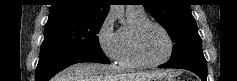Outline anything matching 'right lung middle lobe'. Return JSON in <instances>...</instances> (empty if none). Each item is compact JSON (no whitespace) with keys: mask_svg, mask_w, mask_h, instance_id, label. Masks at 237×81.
Returning a JSON list of instances; mask_svg holds the SVG:
<instances>
[{"mask_svg":"<svg viewBox=\"0 0 237 81\" xmlns=\"http://www.w3.org/2000/svg\"><path fill=\"white\" fill-rule=\"evenodd\" d=\"M105 19L61 16L48 19L41 52H84L103 54L97 34Z\"/></svg>","mask_w":237,"mask_h":81,"instance_id":"obj_1","label":"right lung middle lobe"}]
</instances>
